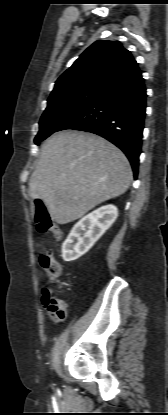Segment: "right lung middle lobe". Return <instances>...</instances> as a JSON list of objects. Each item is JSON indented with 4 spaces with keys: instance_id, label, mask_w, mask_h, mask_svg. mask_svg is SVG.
Instances as JSON below:
<instances>
[{
    "instance_id": "obj_1",
    "label": "right lung middle lobe",
    "mask_w": 168,
    "mask_h": 415,
    "mask_svg": "<svg viewBox=\"0 0 168 415\" xmlns=\"http://www.w3.org/2000/svg\"><path fill=\"white\" fill-rule=\"evenodd\" d=\"M101 93L100 90H79L48 100L47 108L39 122V132L34 139L35 144L38 145L56 132L65 122L99 97Z\"/></svg>"
}]
</instances>
